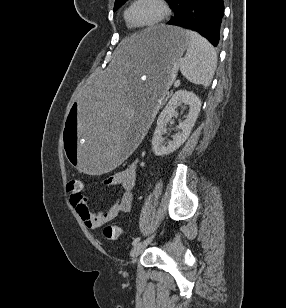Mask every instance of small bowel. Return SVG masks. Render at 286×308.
<instances>
[{"mask_svg":"<svg viewBox=\"0 0 286 308\" xmlns=\"http://www.w3.org/2000/svg\"><path fill=\"white\" fill-rule=\"evenodd\" d=\"M138 169V163L134 162L124 170L118 171L105 179L104 183L107 186L118 188L119 196L115 203L104 211L95 212L88 206L87 197L83 193V183L80 191H69L70 203L87 228H100L116 218L119 214L127 212L130 209L132 190L136 183Z\"/></svg>","mask_w":286,"mask_h":308,"instance_id":"obj_1","label":"small bowel"}]
</instances>
